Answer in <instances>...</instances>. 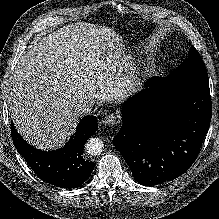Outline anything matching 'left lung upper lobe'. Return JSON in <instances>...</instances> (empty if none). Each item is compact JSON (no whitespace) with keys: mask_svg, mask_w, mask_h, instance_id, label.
Segmentation results:
<instances>
[{"mask_svg":"<svg viewBox=\"0 0 219 219\" xmlns=\"http://www.w3.org/2000/svg\"><path fill=\"white\" fill-rule=\"evenodd\" d=\"M191 77L208 79L205 64L202 61L200 54L193 46H191L188 52V58L176 69V71L170 76L160 79L176 80Z\"/></svg>","mask_w":219,"mask_h":219,"instance_id":"left-lung-upper-lobe-1","label":"left lung upper lobe"}]
</instances>
